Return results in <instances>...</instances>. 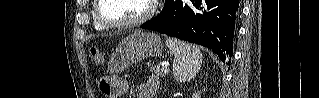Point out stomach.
I'll list each match as a JSON object with an SVG mask.
<instances>
[{"mask_svg": "<svg viewBox=\"0 0 319 98\" xmlns=\"http://www.w3.org/2000/svg\"><path fill=\"white\" fill-rule=\"evenodd\" d=\"M163 44L160 37L151 32H136L118 44L113 53L110 71L118 73L124 71L131 64L140 62L149 57L161 56Z\"/></svg>", "mask_w": 319, "mask_h": 98, "instance_id": "1", "label": "stomach"}]
</instances>
